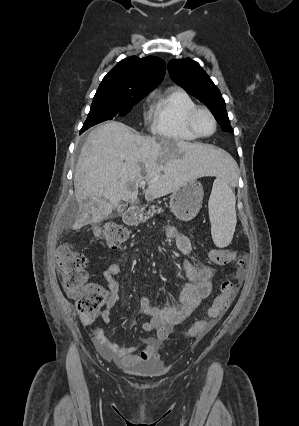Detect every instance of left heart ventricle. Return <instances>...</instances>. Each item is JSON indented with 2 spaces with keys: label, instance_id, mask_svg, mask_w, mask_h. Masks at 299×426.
I'll return each instance as SVG.
<instances>
[{
  "label": "left heart ventricle",
  "instance_id": "obj_1",
  "mask_svg": "<svg viewBox=\"0 0 299 426\" xmlns=\"http://www.w3.org/2000/svg\"><path fill=\"white\" fill-rule=\"evenodd\" d=\"M196 126L199 132L205 135L210 134L214 129L211 118L205 113L198 115L196 119Z\"/></svg>",
  "mask_w": 299,
  "mask_h": 426
}]
</instances>
